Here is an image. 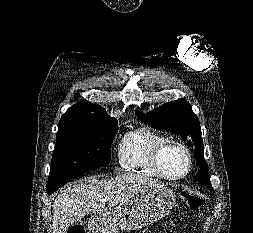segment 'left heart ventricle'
<instances>
[{
    "label": "left heart ventricle",
    "instance_id": "b2bd125f",
    "mask_svg": "<svg viewBox=\"0 0 253 233\" xmlns=\"http://www.w3.org/2000/svg\"><path fill=\"white\" fill-rule=\"evenodd\" d=\"M186 158L181 152H172L165 161L166 172L168 174L182 173L186 168Z\"/></svg>",
    "mask_w": 253,
    "mask_h": 233
}]
</instances>
